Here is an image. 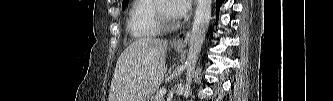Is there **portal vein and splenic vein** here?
Here are the masks:
<instances>
[{
	"label": "portal vein and splenic vein",
	"mask_w": 333,
	"mask_h": 101,
	"mask_svg": "<svg viewBox=\"0 0 333 101\" xmlns=\"http://www.w3.org/2000/svg\"><path fill=\"white\" fill-rule=\"evenodd\" d=\"M160 94H161L162 96H164V95L166 94V89H165V88L161 89V90H160Z\"/></svg>",
	"instance_id": "1"
}]
</instances>
